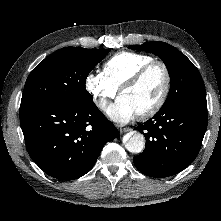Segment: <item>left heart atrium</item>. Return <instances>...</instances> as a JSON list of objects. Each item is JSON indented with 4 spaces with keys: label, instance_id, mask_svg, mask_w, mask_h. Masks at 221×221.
Returning <instances> with one entry per match:
<instances>
[{
    "label": "left heart atrium",
    "instance_id": "left-heart-atrium-1",
    "mask_svg": "<svg viewBox=\"0 0 221 221\" xmlns=\"http://www.w3.org/2000/svg\"><path fill=\"white\" fill-rule=\"evenodd\" d=\"M107 114L116 122L127 123L135 117L136 112L131 104L124 97L120 96L115 103L108 108Z\"/></svg>",
    "mask_w": 221,
    "mask_h": 221
}]
</instances>
